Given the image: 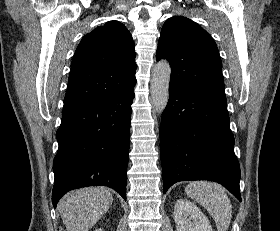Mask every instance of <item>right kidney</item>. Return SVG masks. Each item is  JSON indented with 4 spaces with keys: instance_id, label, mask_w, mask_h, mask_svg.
<instances>
[{
    "instance_id": "right-kidney-1",
    "label": "right kidney",
    "mask_w": 280,
    "mask_h": 231,
    "mask_svg": "<svg viewBox=\"0 0 280 231\" xmlns=\"http://www.w3.org/2000/svg\"><path fill=\"white\" fill-rule=\"evenodd\" d=\"M95 231H102V229H95Z\"/></svg>"
}]
</instances>
